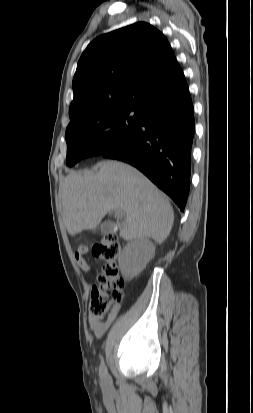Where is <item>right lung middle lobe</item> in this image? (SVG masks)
<instances>
[{
    "label": "right lung middle lobe",
    "mask_w": 253,
    "mask_h": 413,
    "mask_svg": "<svg viewBox=\"0 0 253 413\" xmlns=\"http://www.w3.org/2000/svg\"><path fill=\"white\" fill-rule=\"evenodd\" d=\"M143 115L141 108L115 106L70 121L66 129L67 165L111 149L141 126Z\"/></svg>",
    "instance_id": "1"
}]
</instances>
